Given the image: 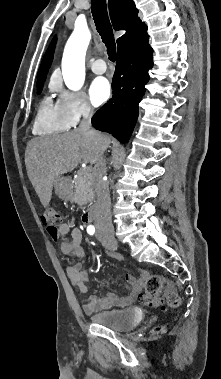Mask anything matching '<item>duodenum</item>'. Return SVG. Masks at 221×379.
<instances>
[{
  "mask_svg": "<svg viewBox=\"0 0 221 379\" xmlns=\"http://www.w3.org/2000/svg\"><path fill=\"white\" fill-rule=\"evenodd\" d=\"M98 217V205H91L84 213L83 221L85 223H93Z\"/></svg>",
  "mask_w": 221,
  "mask_h": 379,
  "instance_id": "1",
  "label": "duodenum"
}]
</instances>
